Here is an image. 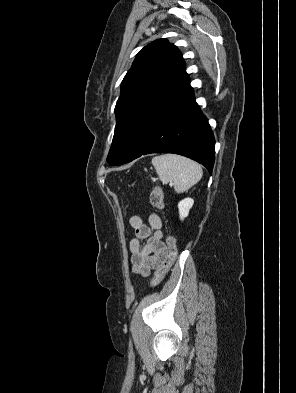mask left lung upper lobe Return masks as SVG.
Returning <instances> with one entry per match:
<instances>
[{
  "label": "left lung upper lobe",
  "instance_id": "1",
  "mask_svg": "<svg viewBox=\"0 0 296 393\" xmlns=\"http://www.w3.org/2000/svg\"><path fill=\"white\" fill-rule=\"evenodd\" d=\"M188 84L185 62L176 46L158 39L140 50L121 84L107 162L124 164L152 122Z\"/></svg>",
  "mask_w": 296,
  "mask_h": 393
}]
</instances>
